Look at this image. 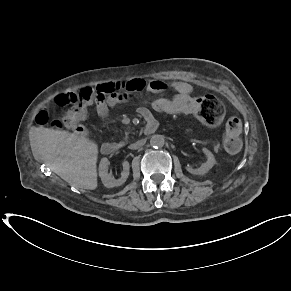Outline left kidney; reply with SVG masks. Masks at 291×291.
<instances>
[{
    "mask_svg": "<svg viewBox=\"0 0 291 291\" xmlns=\"http://www.w3.org/2000/svg\"><path fill=\"white\" fill-rule=\"evenodd\" d=\"M203 152L207 157V161L197 169L187 167V171L190 172L191 174L205 175L214 166L215 164L214 155L207 148H203Z\"/></svg>",
    "mask_w": 291,
    "mask_h": 291,
    "instance_id": "obj_1",
    "label": "left kidney"
}]
</instances>
